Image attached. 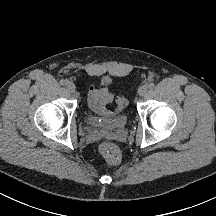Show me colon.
<instances>
[{
    "label": "colon",
    "mask_w": 216,
    "mask_h": 216,
    "mask_svg": "<svg viewBox=\"0 0 216 216\" xmlns=\"http://www.w3.org/2000/svg\"><path fill=\"white\" fill-rule=\"evenodd\" d=\"M126 102L124 99L117 101L118 108L121 109L125 106ZM99 152L101 156L110 164H116L120 161V151L111 142H102L99 146Z\"/></svg>",
    "instance_id": "1"
}]
</instances>
